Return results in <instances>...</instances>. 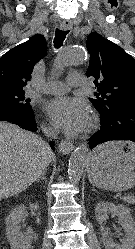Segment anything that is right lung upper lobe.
I'll list each match as a JSON object with an SVG mask.
<instances>
[{
    "instance_id": "obj_1",
    "label": "right lung upper lobe",
    "mask_w": 135,
    "mask_h": 249,
    "mask_svg": "<svg viewBox=\"0 0 135 249\" xmlns=\"http://www.w3.org/2000/svg\"><path fill=\"white\" fill-rule=\"evenodd\" d=\"M47 43L43 35L10 49L0 58V91H24L34 65L45 56Z\"/></svg>"
}]
</instances>
